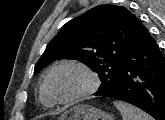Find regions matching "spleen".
Returning a JSON list of instances; mask_svg holds the SVG:
<instances>
[{"label": "spleen", "mask_w": 165, "mask_h": 120, "mask_svg": "<svg viewBox=\"0 0 165 120\" xmlns=\"http://www.w3.org/2000/svg\"><path fill=\"white\" fill-rule=\"evenodd\" d=\"M114 106L120 111L123 120H153L144 111L122 101H114Z\"/></svg>", "instance_id": "1"}]
</instances>
